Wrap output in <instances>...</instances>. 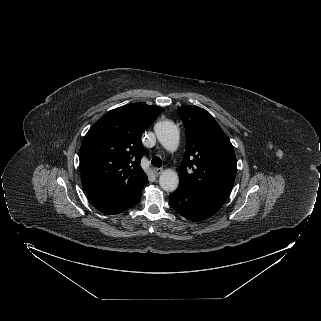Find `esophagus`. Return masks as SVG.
<instances>
[{
    "label": "esophagus",
    "instance_id": "obj_1",
    "mask_svg": "<svg viewBox=\"0 0 321 321\" xmlns=\"http://www.w3.org/2000/svg\"><path fill=\"white\" fill-rule=\"evenodd\" d=\"M152 172H153L156 176H158V175H160V174L163 172V168H153V169H152Z\"/></svg>",
    "mask_w": 321,
    "mask_h": 321
}]
</instances>
